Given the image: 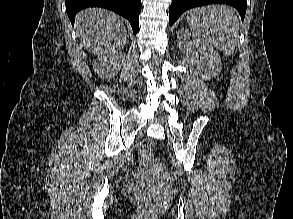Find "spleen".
Instances as JSON below:
<instances>
[{
  "label": "spleen",
  "instance_id": "1",
  "mask_svg": "<svg viewBox=\"0 0 293 219\" xmlns=\"http://www.w3.org/2000/svg\"><path fill=\"white\" fill-rule=\"evenodd\" d=\"M187 22L195 37L227 55L237 45L239 18L232 7L209 5L188 12Z\"/></svg>",
  "mask_w": 293,
  "mask_h": 219
}]
</instances>
